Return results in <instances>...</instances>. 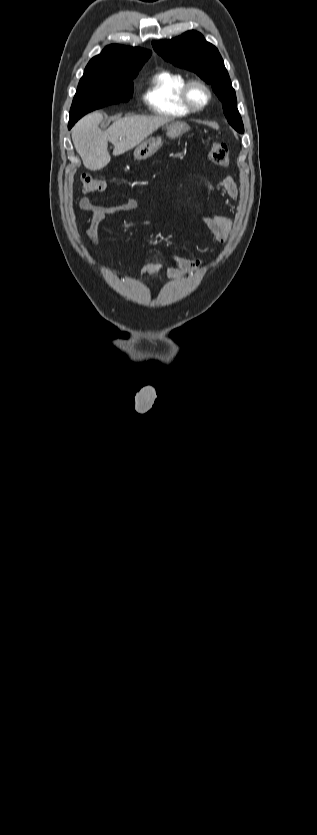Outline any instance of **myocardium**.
Segmentation results:
<instances>
[{
  "label": "myocardium",
  "instance_id": "myocardium-1",
  "mask_svg": "<svg viewBox=\"0 0 317 835\" xmlns=\"http://www.w3.org/2000/svg\"><path fill=\"white\" fill-rule=\"evenodd\" d=\"M194 87H200V88H202V89L205 91V93H206V99H205V101H204L202 104H200V105L196 104V103L192 100L191 92H192V89H193ZM181 98H182V101H183V103L185 104V106H186V107H187V108H188L191 112H201V111H203V110H204V109H205V108L209 105V103L211 102V100H212V91H211L210 86H209V85H208L205 81L200 80V79H191V80H188V81L185 83V85H184V87H183V89H182V92H181Z\"/></svg>",
  "mask_w": 317,
  "mask_h": 835
}]
</instances>
